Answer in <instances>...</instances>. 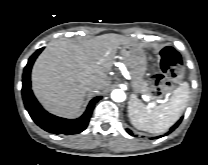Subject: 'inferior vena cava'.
<instances>
[{"instance_id": "obj_1", "label": "inferior vena cava", "mask_w": 208, "mask_h": 165, "mask_svg": "<svg viewBox=\"0 0 208 165\" xmlns=\"http://www.w3.org/2000/svg\"><path fill=\"white\" fill-rule=\"evenodd\" d=\"M87 89L89 91H94V90H97L98 89V86H96V85H90L89 87H87Z\"/></svg>"}]
</instances>
